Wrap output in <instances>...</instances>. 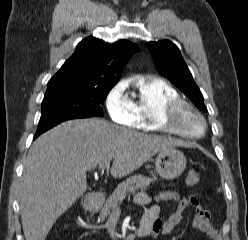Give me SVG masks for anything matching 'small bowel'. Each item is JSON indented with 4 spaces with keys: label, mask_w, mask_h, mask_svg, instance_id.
Masks as SVG:
<instances>
[{
    "label": "small bowel",
    "mask_w": 248,
    "mask_h": 240,
    "mask_svg": "<svg viewBox=\"0 0 248 240\" xmlns=\"http://www.w3.org/2000/svg\"><path fill=\"white\" fill-rule=\"evenodd\" d=\"M177 201L176 211L166 220L160 219V207L157 202ZM138 205L145 207L142 224H149L151 230L148 235L156 236L161 233L163 235L170 234L179 225L182 220V214L186 208L192 206L195 215L192 220V227L206 234L212 240H218L219 234L215 227L210 223L211 213L203 208L195 196H182L175 191H160L154 197L140 192L135 197Z\"/></svg>",
    "instance_id": "1"
}]
</instances>
